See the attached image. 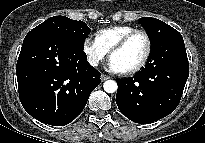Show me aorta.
Returning a JSON list of instances; mask_svg holds the SVG:
<instances>
[{"label": "aorta", "instance_id": "obj_1", "mask_svg": "<svg viewBox=\"0 0 205 143\" xmlns=\"http://www.w3.org/2000/svg\"><path fill=\"white\" fill-rule=\"evenodd\" d=\"M103 88L107 93H114L117 91V83L114 80H107L103 84Z\"/></svg>", "mask_w": 205, "mask_h": 143}]
</instances>
